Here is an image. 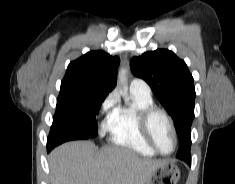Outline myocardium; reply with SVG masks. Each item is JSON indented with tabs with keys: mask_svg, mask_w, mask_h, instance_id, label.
I'll use <instances>...</instances> for the list:
<instances>
[{
	"mask_svg": "<svg viewBox=\"0 0 235 184\" xmlns=\"http://www.w3.org/2000/svg\"><path fill=\"white\" fill-rule=\"evenodd\" d=\"M158 114L164 117L165 121L167 122L168 126L173 132V135L175 138V147L173 151L169 154H165L159 150L153 137L152 122H153L154 117ZM139 122H140V128L142 130L143 135L145 136L151 148L156 154L160 156L168 157L175 153L178 147V133H177V129L175 127L172 117L166 110H164L161 107L153 105L141 111L140 116H139Z\"/></svg>",
	"mask_w": 235,
	"mask_h": 184,
	"instance_id": "f54148a6",
	"label": "myocardium"
}]
</instances>
